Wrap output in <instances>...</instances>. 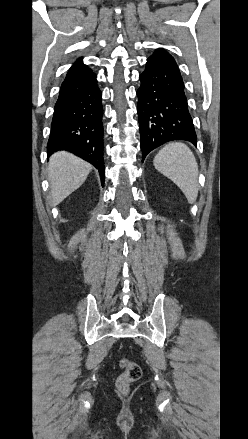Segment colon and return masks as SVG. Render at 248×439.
<instances>
[{"label":"colon","mask_w":248,"mask_h":439,"mask_svg":"<svg viewBox=\"0 0 248 439\" xmlns=\"http://www.w3.org/2000/svg\"><path fill=\"white\" fill-rule=\"evenodd\" d=\"M120 366L123 369L122 374L118 377L116 385L118 391L122 395H126L129 391L131 383L136 382L142 375L141 367L134 362L126 359L120 361Z\"/></svg>","instance_id":"colon-1"}]
</instances>
